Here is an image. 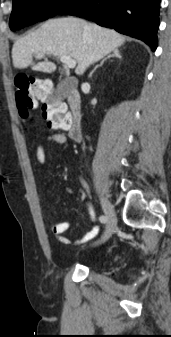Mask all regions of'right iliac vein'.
Here are the masks:
<instances>
[{
  "instance_id": "right-iliac-vein-1",
  "label": "right iliac vein",
  "mask_w": 171,
  "mask_h": 337,
  "mask_svg": "<svg viewBox=\"0 0 171 337\" xmlns=\"http://www.w3.org/2000/svg\"><path fill=\"white\" fill-rule=\"evenodd\" d=\"M100 201L105 216L107 217L106 231L102 238V241H106L116 230V214L112 204L102 194H100Z\"/></svg>"
}]
</instances>
